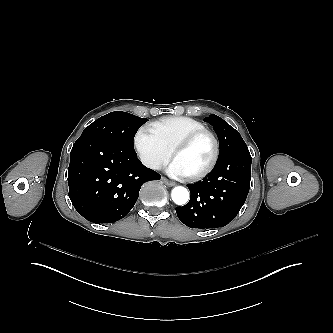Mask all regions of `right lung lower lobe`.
I'll return each mask as SVG.
<instances>
[{
	"label": "right lung lower lobe",
	"mask_w": 333,
	"mask_h": 333,
	"mask_svg": "<svg viewBox=\"0 0 333 333\" xmlns=\"http://www.w3.org/2000/svg\"><path fill=\"white\" fill-rule=\"evenodd\" d=\"M160 178L141 163L136 152L96 135L79 137L70 153L69 198L77 212L93 223L125 217L141 185Z\"/></svg>",
	"instance_id": "obj_1"
}]
</instances>
